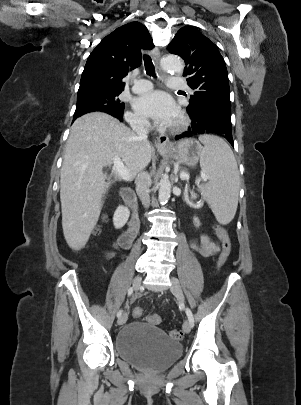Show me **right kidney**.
<instances>
[{
    "instance_id": "right-kidney-1",
    "label": "right kidney",
    "mask_w": 301,
    "mask_h": 405,
    "mask_svg": "<svg viewBox=\"0 0 301 405\" xmlns=\"http://www.w3.org/2000/svg\"><path fill=\"white\" fill-rule=\"evenodd\" d=\"M130 216V211L125 206H118L113 216V224L116 229L122 228Z\"/></svg>"
}]
</instances>
